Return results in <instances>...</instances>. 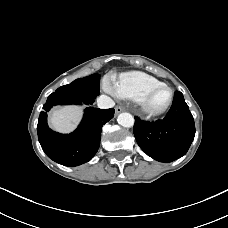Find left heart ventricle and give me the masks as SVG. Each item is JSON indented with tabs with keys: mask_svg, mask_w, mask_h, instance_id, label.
<instances>
[{
	"mask_svg": "<svg viewBox=\"0 0 228 228\" xmlns=\"http://www.w3.org/2000/svg\"><path fill=\"white\" fill-rule=\"evenodd\" d=\"M167 99H168V91L164 88L159 89L151 95L149 99V106L152 109H158L166 103Z\"/></svg>",
	"mask_w": 228,
	"mask_h": 228,
	"instance_id": "left-heart-ventricle-1",
	"label": "left heart ventricle"
}]
</instances>
